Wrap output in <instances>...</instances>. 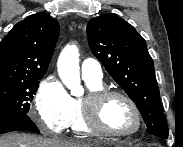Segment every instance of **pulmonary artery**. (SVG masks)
Wrapping results in <instances>:
<instances>
[{"mask_svg":"<svg viewBox=\"0 0 183 147\" xmlns=\"http://www.w3.org/2000/svg\"><path fill=\"white\" fill-rule=\"evenodd\" d=\"M81 75L85 81L101 82L103 71L100 63L95 59H85L81 64Z\"/></svg>","mask_w":183,"mask_h":147,"instance_id":"obj_1","label":"pulmonary artery"}]
</instances>
